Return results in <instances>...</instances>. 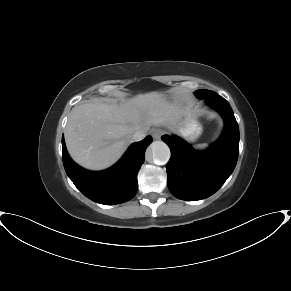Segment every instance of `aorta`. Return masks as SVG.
Masks as SVG:
<instances>
[{
	"label": "aorta",
	"instance_id": "aorta-1",
	"mask_svg": "<svg viewBox=\"0 0 291 291\" xmlns=\"http://www.w3.org/2000/svg\"><path fill=\"white\" fill-rule=\"evenodd\" d=\"M149 153L157 165H164L170 159V149L163 141H154L149 147Z\"/></svg>",
	"mask_w": 291,
	"mask_h": 291
}]
</instances>
